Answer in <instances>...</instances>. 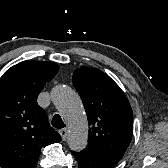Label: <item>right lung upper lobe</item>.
<instances>
[{"instance_id": "1", "label": "right lung upper lobe", "mask_w": 168, "mask_h": 168, "mask_svg": "<svg viewBox=\"0 0 168 168\" xmlns=\"http://www.w3.org/2000/svg\"><path fill=\"white\" fill-rule=\"evenodd\" d=\"M58 69L53 62L23 61L0 78V168H36L41 148L61 141L37 104Z\"/></svg>"}]
</instances>
